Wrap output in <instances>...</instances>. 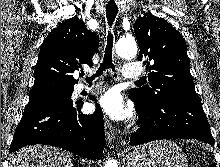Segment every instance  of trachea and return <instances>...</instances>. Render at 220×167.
I'll return each mask as SVG.
<instances>
[{
    "label": "trachea",
    "mask_w": 220,
    "mask_h": 167,
    "mask_svg": "<svg viewBox=\"0 0 220 167\" xmlns=\"http://www.w3.org/2000/svg\"><path fill=\"white\" fill-rule=\"evenodd\" d=\"M117 13H118V8L116 5L106 6V17H107L108 25L110 27L112 26ZM112 49H113V36L111 33H108L107 45L105 48V55L103 62L100 64V67L95 75L91 77H86L87 82H91L92 80L95 79V77L101 76L106 69H112V71H115V66L112 63ZM81 76H84V74L82 73ZM114 76H116V73L114 74Z\"/></svg>",
    "instance_id": "3493384b"
}]
</instances>
